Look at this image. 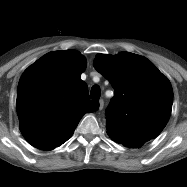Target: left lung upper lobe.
<instances>
[{
	"mask_svg": "<svg viewBox=\"0 0 187 187\" xmlns=\"http://www.w3.org/2000/svg\"><path fill=\"white\" fill-rule=\"evenodd\" d=\"M93 66L115 91L106 111L109 137L133 148L156 138L172 110L169 80L147 58L130 52L97 54Z\"/></svg>",
	"mask_w": 187,
	"mask_h": 187,
	"instance_id": "obj_1",
	"label": "left lung upper lobe"
}]
</instances>
